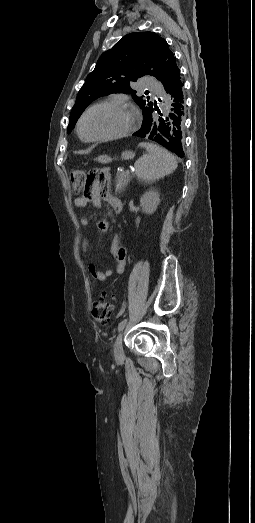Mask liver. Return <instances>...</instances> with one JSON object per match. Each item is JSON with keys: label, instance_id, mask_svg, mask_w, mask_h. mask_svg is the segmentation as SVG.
<instances>
[{"label": "liver", "instance_id": "6515ba94", "mask_svg": "<svg viewBox=\"0 0 255 523\" xmlns=\"http://www.w3.org/2000/svg\"><path fill=\"white\" fill-rule=\"evenodd\" d=\"M98 162H104L103 156H100V158H97Z\"/></svg>", "mask_w": 255, "mask_h": 523}]
</instances>
